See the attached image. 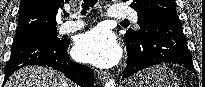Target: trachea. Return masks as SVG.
<instances>
[{
	"label": "trachea",
	"instance_id": "1",
	"mask_svg": "<svg viewBox=\"0 0 205 87\" xmlns=\"http://www.w3.org/2000/svg\"><path fill=\"white\" fill-rule=\"evenodd\" d=\"M97 3V0H84V2L82 3V15H86L87 10H89L90 8H93L95 6V4ZM64 16L68 17L69 13L65 12ZM122 22H128V20H123Z\"/></svg>",
	"mask_w": 205,
	"mask_h": 87
}]
</instances>
